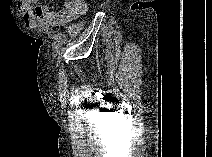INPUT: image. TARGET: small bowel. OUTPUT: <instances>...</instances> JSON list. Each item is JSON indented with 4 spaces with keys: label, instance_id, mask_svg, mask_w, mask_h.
<instances>
[{
    "label": "small bowel",
    "instance_id": "1",
    "mask_svg": "<svg viewBox=\"0 0 212 157\" xmlns=\"http://www.w3.org/2000/svg\"><path fill=\"white\" fill-rule=\"evenodd\" d=\"M87 10L83 0H65L59 10H53L47 4L33 6L30 1L23 0L19 3V11L25 25L37 21L42 29L50 30L55 27L69 24Z\"/></svg>",
    "mask_w": 212,
    "mask_h": 157
}]
</instances>
